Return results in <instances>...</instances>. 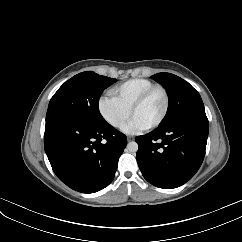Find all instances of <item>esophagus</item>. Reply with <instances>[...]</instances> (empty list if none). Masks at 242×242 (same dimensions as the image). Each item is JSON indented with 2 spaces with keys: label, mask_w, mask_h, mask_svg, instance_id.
<instances>
[{
  "label": "esophagus",
  "mask_w": 242,
  "mask_h": 242,
  "mask_svg": "<svg viewBox=\"0 0 242 242\" xmlns=\"http://www.w3.org/2000/svg\"><path fill=\"white\" fill-rule=\"evenodd\" d=\"M132 140H134V137L133 136H128L127 137V141H132Z\"/></svg>",
  "instance_id": "34e87169"
}]
</instances>
